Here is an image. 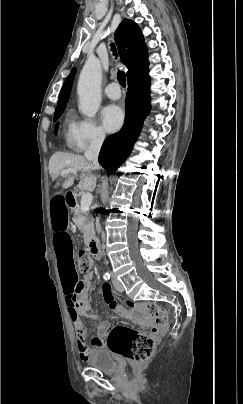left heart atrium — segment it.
<instances>
[{
    "label": "left heart atrium",
    "mask_w": 243,
    "mask_h": 404,
    "mask_svg": "<svg viewBox=\"0 0 243 404\" xmlns=\"http://www.w3.org/2000/svg\"><path fill=\"white\" fill-rule=\"evenodd\" d=\"M101 127L106 133L117 131L123 124V110L116 104L105 106L100 113Z\"/></svg>",
    "instance_id": "obj_1"
}]
</instances>
